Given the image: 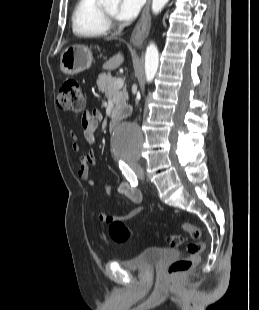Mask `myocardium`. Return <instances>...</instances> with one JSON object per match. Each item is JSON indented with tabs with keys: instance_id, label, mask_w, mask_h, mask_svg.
I'll use <instances>...</instances> for the list:
<instances>
[{
	"instance_id": "obj_1",
	"label": "myocardium",
	"mask_w": 259,
	"mask_h": 310,
	"mask_svg": "<svg viewBox=\"0 0 259 310\" xmlns=\"http://www.w3.org/2000/svg\"><path fill=\"white\" fill-rule=\"evenodd\" d=\"M100 12H101V15L104 19V21L107 23V25H111L114 23L115 21V17L110 15L103 6L100 5Z\"/></svg>"
}]
</instances>
